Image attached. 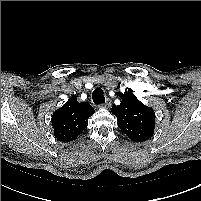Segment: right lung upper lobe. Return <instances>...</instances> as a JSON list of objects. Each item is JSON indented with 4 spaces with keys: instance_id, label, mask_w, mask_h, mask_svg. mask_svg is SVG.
I'll return each mask as SVG.
<instances>
[{
    "instance_id": "1",
    "label": "right lung upper lobe",
    "mask_w": 201,
    "mask_h": 201,
    "mask_svg": "<svg viewBox=\"0 0 201 201\" xmlns=\"http://www.w3.org/2000/svg\"><path fill=\"white\" fill-rule=\"evenodd\" d=\"M93 107L88 103H79L71 97L52 116L54 136L60 141L74 140L88 125V118L94 114Z\"/></svg>"
}]
</instances>
